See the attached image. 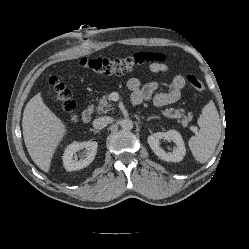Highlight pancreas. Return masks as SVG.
<instances>
[{"instance_id":"1","label":"pancreas","mask_w":249,"mask_h":249,"mask_svg":"<svg viewBox=\"0 0 249 249\" xmlns=\"http://www.w3.org/2000/svg\"><path fill=\"white\" fill-rule=\"evenodd\" d=\"M112 104L109 101L107 95H104L100 101L99 105L96 107V110L99 114L108 113L109 111L113 110ZM162 114L170 119H177L178 122H181L183 126H186L189 121L192 120L193 116L191 113L186 115L184 109H177L169 108L162 112Z\"/></svg>"}]
</instances>
